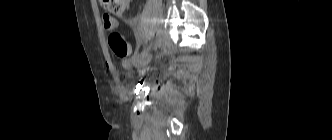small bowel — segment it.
<instances>
[{
    "mask_svg": "<svg viewBox=\"0 0 332 140\" xmlns=\"http://www.w3.org/2000/svg\"><path fill=\"white\" fill-rule=\"evenodd\" d=\"M131 59H125L122 61V66L125 68V69H130L131 68ZM142 73H144V71H142Z\"/></svg>",
    "mask_w": 332,
    "mask_h": 140,
    "instance_id": "c3829d8e",
    "label": "small bowel"
}]
</instances>
